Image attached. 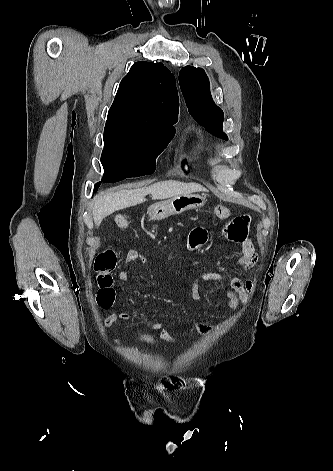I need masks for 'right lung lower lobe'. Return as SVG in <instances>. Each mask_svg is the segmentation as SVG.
I'll use <instances>...</instances> for the list:
<instances>
[{"mask_svg": "<svg viewBox=\"0 0 333 471\" xmlns=\"http://www.w3.org/2000/svg\"><path fill=\"white\" fill-rule=\"evenodd\" d=\"M99 185H100V183H97V184L95 185L94 192L97 191Z\"/></svg>", "mask_w": 333, "mask_h": 471, "instance_id": "98d812e1", "label": "right lung lower lobe"}]
</instances>
